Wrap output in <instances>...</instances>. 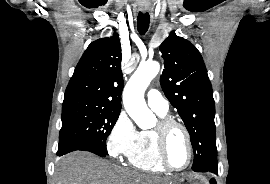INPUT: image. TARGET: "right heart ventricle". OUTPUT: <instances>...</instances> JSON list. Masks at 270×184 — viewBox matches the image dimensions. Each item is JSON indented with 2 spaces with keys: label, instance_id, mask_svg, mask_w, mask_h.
<instances>
[{
  "label": "right heart ventricle",
  "instance_id": "right-heart-ventricle-1",
  "mask_svg": "<svg viewBox=\"0 0 270 184\" xmlns=\"http://www.w3.org/2000/svg\"><path fill=\"white\" fill-rule=\"evenodd\" d=\"M165 116L166 113H159ZM131 167L153 173H163L166 169L159 161L153 131L139 132L137 141L131 153L127 156Z\"/></svg>",
  "mask_w": 270,
  "mask_h": 184
}]
</instances>
